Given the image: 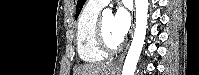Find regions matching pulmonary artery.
Listing matches in <instances>:
<instances>
[{
  "instance_id": "e3ab8cb5",
  "label": "pulmonary artery",
  "mask_w": 199,
  "mask_h": 75,
  "mask_svg": "<svg viewBox=\"0 0 199 75\" xmlns=\"http://www.w3.org/2000/svg\"><path fill=\"white\" fill-rule=\"evenodd\" d=\"M89 3L92 6L102 8V7L106 6L109 3V1L108 0H96V1H89Z\"/></svg>"
}]
</instances>
